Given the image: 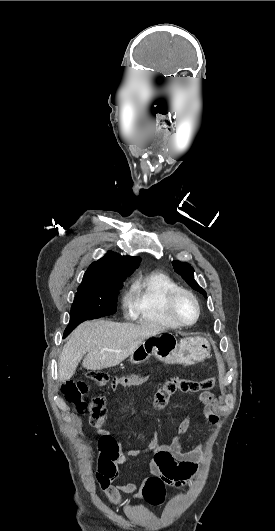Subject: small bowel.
Instances as JSON below:
<instances>
[{"label":"small bowel","mask_w":275,"mask_h":531,"mask_svg":"<svg viewBox=\"0 0 275 531\" xmlns=\"http://www.w3.org/2000/svg\"><path fill=\"white\" fill-rule=\"evenodd\" d=\"M108 380L112 383L111 388L115 392L126 391L129 383H142L148 380L146 375L129 374L127 377L123 373H112ZM199 402L202 406V421L208 426L210 431L217 423L218 416L213 410L214 395L212 393H202L199 397ZM190 427V421H184L178 428L173 441L170 444H161L157 432H154L148 451L153 453V458L148 462L149 471H158L160 476L164 477L166 483L177 488L182 487L188 480H190L197 471V464L201 462L204 454L203 444H198L191 450H183L182 439ZM109 444H116L120 447V443L110 433H102L97 441L99 449L106 447ZM142 452L140 450L132 449L122 454L118 464L128 462L138 458ZM114 478V477H113ZM113 478L107 480L102 475H97V481L104 497L109 504L118 508H126L128 502L122 497L121 492L133 495L136 502L141 500V493L143 482H127L120 485H113Z\"/></svg>","instance_id":"obj_1"}]
</instances>
